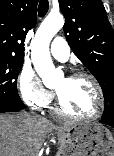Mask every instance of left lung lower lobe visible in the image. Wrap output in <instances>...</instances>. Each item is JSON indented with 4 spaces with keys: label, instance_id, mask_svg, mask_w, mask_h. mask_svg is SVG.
Masks as SVG:
<instances>
[{
    "label": "left lung lower lobe",
    "instance_id": "obj_1",
    "mask_svg": "<svg viewBox=\"0 0 114 156\" xmlns=\"http://www.w3.org/2000/svg\"><path fill=\"white\" fill-rule=\"evenodd\" d=\"M101 123H104V124H107V125L114 127V121H108V120H102L101 119Z\"/></svg>",
    "mask_w": 114,
    "mask_h": 156
}]
</instances>
